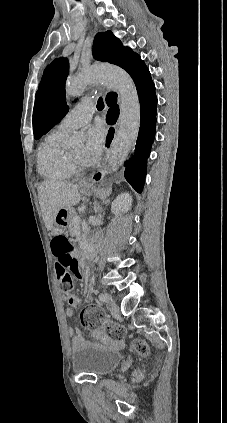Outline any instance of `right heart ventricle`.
<instances>
[{
    "mask_svg": "<svg viewBox=\"0 0 227 423\" xmlns=\"http://www.w3.org/2000/svg\"><path fill=\"white\" fill-rule=\"evenodd\" d=\"M69 131L56 127L41 141L37 150L38 173L48 180H64L74 173V165L63 140Z\"/></svg>",
    "mask_w": 227,
    "mask_h": 423,
    "instance_id": "1",
    "label": "right heart ventricle"
}]
</instances>
